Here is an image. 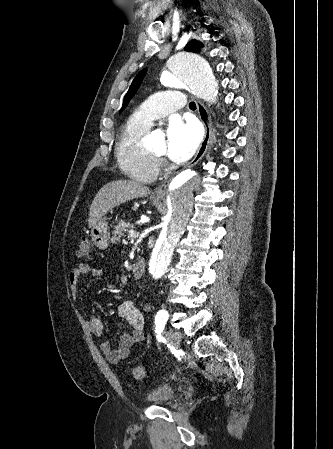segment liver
<instances>
[{
    "mask_svg": "<svg viewBox=\"0 0 333 449\" xmlns=\"http://www.w3.org/2000/svg\"><path fill=\"white\" fill-rule=\"evenodd\" d=\"M150 194V189L136 181L116 180L104 185L96 194L89 213L88 224L92 228L107 212L130 200Z\"/></svg>",
    "mask_w": 333,
    "mask_h": 449,
    "instance_id": "liver-1",
    "label": "liver"
}]
</instances>
